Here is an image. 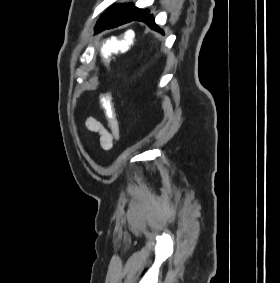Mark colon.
I'll use <instances>...</instances> for the list:
<instances>
[{
	"mask_svg": "<svg viewBox=\"0 0 280 283\" xmlns=\"http://www.w3.org/2000/svg\"><path fill=\"white\" fill-rule=\"evenodd\" d=\"M125 32L122 33L123 37H107L104 50H101V55H126L127 51L131 50L136 41V32H131L130 26H125ZM101 104L104 109L108 122L113 126V132L116 138L119 137V126L117 125V116L114 104L110 94H101Z\"/></svg>",
	"mask_w": 280,
	"mask_h": 283,
	"instance_id": "1",
	"label": "colon"
}]
</instances>
